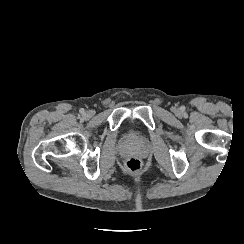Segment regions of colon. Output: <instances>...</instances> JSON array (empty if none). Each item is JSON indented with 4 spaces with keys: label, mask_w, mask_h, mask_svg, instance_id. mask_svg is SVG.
Wrapping results in <instances>:
<instances>
[{
    "label": "colon",
    "mask_w": 244,
    "mask_h": 244,
    "mask_svg": "<svg viewBox=\"0 0 244 244\" xmlns=\"http://www.w3.org/2000/svg\"><path fill=\"white\" fill-rule=\"evenodd\" d=\"M124 164L129 171H136L140 169L142 161L138 157H130L125 161Z\"/></svg>",
    "instance_id": "5ec220e1"
}]
</instances>
